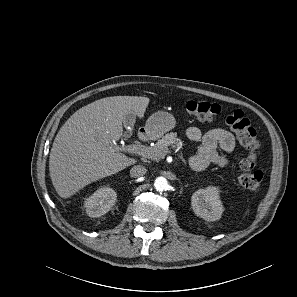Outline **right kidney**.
<instances>
[{"instance_id":"obj_1","label":"right kidney","mask_w":297,"mask_h":297,"mask_svg":"<svg viewBox=\"0 0 297 297\" xmlns=\"http://www.w3.org/2000/svg\"><path fill=\"white\" fill-rule=\"evenodd\" d=\"M116 192L109 188L103 187L94 192L86 201V213L90 217H100L106 214L116 202Z\"/></svg>"}]
</instances>
